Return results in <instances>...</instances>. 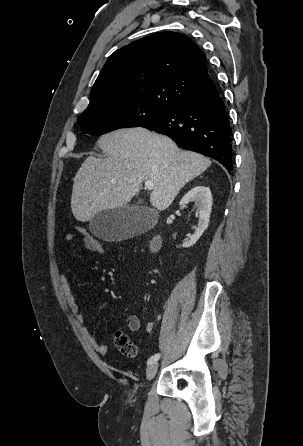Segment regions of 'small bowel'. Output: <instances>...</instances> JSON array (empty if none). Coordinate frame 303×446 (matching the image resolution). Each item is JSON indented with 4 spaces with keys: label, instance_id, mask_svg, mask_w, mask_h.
<instances>
[{
    "label": "small bowel",
    "instance_id": "1",
    "mask_svg": "<svg viewBox=\"0 0 303 446\" xmlns=\"http://www.w3.org/2000/svg\"><path fill=\"white\" fill-rule=\"evenodd\" d=\"M81 242L83 243L84 247L89 250L90 252L95 253L94 250V238L91 236L90 237H86V236H82V235H78ZM76 238V235L73 233H69L66 235L65 239L68 243H71L74 239ZM60 284H61V288H62V292L63 295L65 297L66 303L70 309V311L72 312V314L74 315L75 319L79 322V323H83L84 321V317H85V313L84 311L81 309L80 304L78 302V299L76 298L75 294L73 293L71 286L66 278V276L64 274H60ZM108 303L105 302L103 303L98 310V313H103L107 307H108ZM111 318L113 319H117V317L114 314L110 315ZM123 323L124 325L127 327V329L131 332H136L140 329V320L137 316L135 315H130L127 316L126 318L123 319ZM155 328V323L153 321H149L146 324V330L148 332H152ZM89 342L92 346V348L99 354L101 355H105L108 351V346L105 343H101L99 342L95 336L93 334L89 333Z\"/></svg>",
    "mask_w": 303,
    "mask_h": 446
}]
</instances>
